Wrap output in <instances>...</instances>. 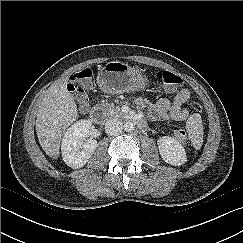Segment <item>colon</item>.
Segmentation results:
<instances>
[{
  "label": "colon",
  "mask_w": 243,
  "mask_h": 243,
  "mask_svg": "<svg viewBox=\"0 0 243 243\" xmlns=\"http://www.w3.org/2000/svg\"><path fill=\"white\" fill-rule=\"evenodd\" d=\"M92 77L93 70L91 68H84L74 73L71 77L68 90L77 97L81 104H85L87 102L85 88L89 86ZM156 78L170 90H175L183 86L182 78L167 70L158 71L156 73ZM170 131L179 141L184 142L187 139L186 132L177 125L171 126Z\"/></svg>",
  "instance_id": "5ec220e1"
}]
</instances>
